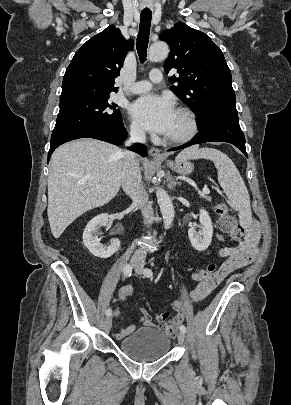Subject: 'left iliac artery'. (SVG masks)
I'll use <instances>...</instances> for the list:
<instances>
[{"mask_svg": "<svg viewBox=\"0 0 291 405\" xmlns=\"http://www.w3.org/2000/svg\"><path fill=\"white\" fill-rule=\"evenodd\" d=\"M144 275H145L146 277H151V276L153 275V272H152L151 269L146 268V269H144ZM180 331H182V332L185 333V332L187 331V329H186V327H185L184 325H181V326H180Z\"/></svg>", "mask_w": 291, "mask_h": 405, "instance_id": "left-iliac-artery-1", "label": "left iliac artery"}]
</instances>
